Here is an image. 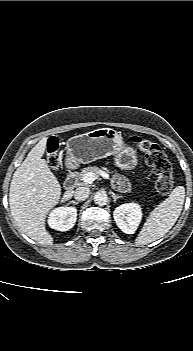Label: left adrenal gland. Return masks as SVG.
<instances>
[{"label": "left adrenal gland", "mask_w": 193, "mask_h": 351, "mask_svg": "<svg viewBox=\"0 0 193 351\" xmlns=\"http://www.w3.org/2000/svg\"><path fill=\"white\" fill-rule=\"evenodd\" d=\"M111 197L113 198V201L116 202L117 199L122 198L120 195H116L114 192L111 191Z\"/></svg>", "instance_id": "a2214340"}]
</instances>
